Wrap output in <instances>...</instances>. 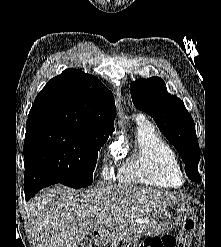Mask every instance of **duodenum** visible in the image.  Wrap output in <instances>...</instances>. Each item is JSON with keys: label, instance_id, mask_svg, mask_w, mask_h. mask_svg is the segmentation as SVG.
<instances>
[{"label": "duodenum", "instance_id": "410a0bca", "mask_svg": "<svg viewBox=\"0 0 221 247\" xmlns=\"http://www.w3.org/2000/svg\"><path fill=\"white\" fill-rule=\"evenodd\" d=\"M100 236L101 233L99 231H93L90 233V237L93 241H95L97 244H100Z\"/></svg>", "mask_w": 221, "mask_h": 247}]
</instances>
